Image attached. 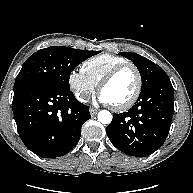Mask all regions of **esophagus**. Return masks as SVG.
I'll list each match as a JSON object with an SVG mask.
<instances>
[{"mask_svg":"<svg viewBox=\"0 0 193 193\" xmlns=\"http://www.w3.org/2000/svg\"><path fill=\"white\" fill-rule=\"evenodd\" d=\"M90 114H91V116H95L97 113H98V109H95V108H90Z\"/></svg>","mask_w":193,"mask_h":193,"instance_id":"1","label":"esophagus"}]
</instances>
